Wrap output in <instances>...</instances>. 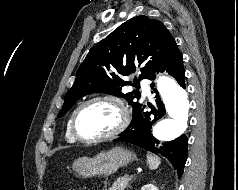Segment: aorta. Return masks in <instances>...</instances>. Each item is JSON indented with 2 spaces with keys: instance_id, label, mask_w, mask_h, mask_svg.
I'll use <instances>...</instances> for the list:
<instances>
[{
  "instance_id": "1",
  "label": "aorta",
  "mask_w": 238,
  "mask_h": 190,
  "mask_svg": "<svg viewBox=\"0 0 238 190\" xmlns=\"http://www.w3.org/2000/svg\"><path fill=\"white\" fill-rule=\"evenodd\" d=\"M158 91L168 117L162 118L153 128L154 137L162 142L178 138L187 128L190 102L188 93L169 77L158 79Z\"/></svg>"
}]
</instances>
